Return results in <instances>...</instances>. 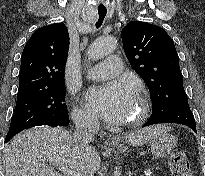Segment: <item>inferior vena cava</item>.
Returning <instances> with one entry per match:
<instances>
[{"label":"inferior vena cava","mask_w":205,"mask_h":176,"mask_svg":"<svg viewBox=\"0 0 205 176\" xmlns=\"http://www.w3.org/2000/svg\"><path fill=\"white\" fill-rule=\"evenodd\" d=\"M74 123L76 126L74 141L81 146L89 147L99 130L97 119L90 116H79L74 119Z\"/></svg>","instance_id":"obj_1"}]
</instances>
